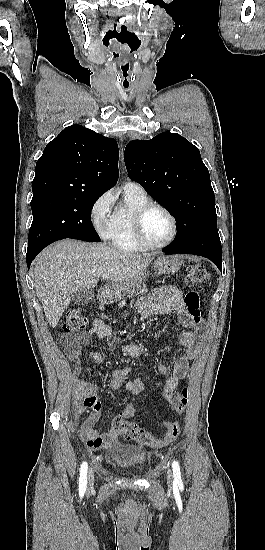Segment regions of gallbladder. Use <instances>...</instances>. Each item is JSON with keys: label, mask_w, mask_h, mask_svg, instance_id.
Instances as JSON below:
<instances>
[{"label": "gallbladder", "mask_w": 265, "mask_h": 550, "mask_svg": "<svg viewBox=\"0 0 265 550\" xmlns=\"http://www.w3.org/2000/svg\"><path fill=\"white\" fill-rule=\"evenodd\" d=\"M94 293L91 289H79L72 294V300L79 305H86L92 301Z\"/></svg>", "instance_id": "obj_1"}]
</instances>
